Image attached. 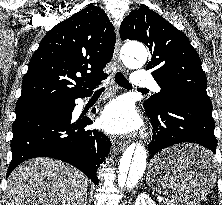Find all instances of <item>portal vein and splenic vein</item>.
Segmentation results:
<instances>
[{
    "label": "portal vein and splenic vein",
    "mask_w": 222,
    "mask_h": 205,
    "mask_svg": "<svg viewBox=\"0 0 222 205\" xmlns=\"http://www.w3.org/2000/svg\"><path fill=\"white\" fill-rule=\"evenodd\" d=\"M157 199H158L160 202L164 200V199H163L162 197H160V196H158Z\"/></svg>",
    "instance_id": "portal-vein-and-splenic-vein-1"
}]
</instances>
